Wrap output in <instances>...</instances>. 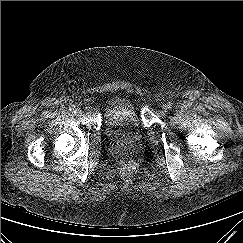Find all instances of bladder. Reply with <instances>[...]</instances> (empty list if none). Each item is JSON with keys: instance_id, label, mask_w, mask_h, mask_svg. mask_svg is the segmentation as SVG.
<instances>
[{"instance_id": "31cf9c89", "label": "bladder", "mask_w": 243, "mask_h": 243, "mask_svg": "<svg viewBox=\"0 0 243 243\" xmlns=\"http://www.w3.org/2000/svg\"><path fill=\"white\" fill-rule=\"evenodd\" d=\"M102 129L109 140L125 145L140 142L144 135L137 108L125 95H115L109 99Z\"/></svg>"}]
</instances>
